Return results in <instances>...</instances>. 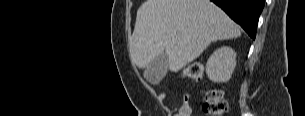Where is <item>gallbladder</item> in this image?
<instances>
[{
    "label": "gallbladder",
    "instance_id": "gallbladder-1",
    "mask_svg": "<svg viewBox=\"0 0 305 116\" xmlns=\"http://www.w3.org/2000/svg\"><path fill=\"white\" fill-rule=\"evenodd\" d=\"M169 66L168 56L161 53L154 58L146 68L144 77L152 85H157L165 77Z\"/></svg>",
    "mask_w": 305,
    "mask_h": 116
}]
</instances>
